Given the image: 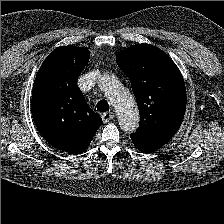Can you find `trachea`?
<instances>
[{
    "instance_id": "trachea-1",
    "label": "trachea",
    "mask_w": 224,
    "mask_h": 224,
    "mask_svg": "<svg viewBox=\"0 0 224 224\" xmlns=\"http://www.w3.org/2000/svg\"><path fill=\"white\" fill-rule=\"evenodd\" d=\"M97 110L99 112H107L109 111V105L107 103V101L105 100H101L98 104H97Z\"/></svg>"
}]
</instances>
